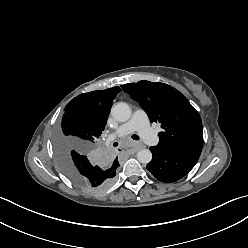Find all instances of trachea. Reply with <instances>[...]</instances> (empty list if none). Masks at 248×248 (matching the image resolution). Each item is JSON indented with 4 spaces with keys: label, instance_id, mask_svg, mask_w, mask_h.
I'll return each instance as SVG.
<instances>
[{
    "label": "trachea",
    "instance_id": "1",
    "mask_svg": "<svg viewBox=\"0 0 248 248\" xmlns=\"http://www.w3.org/2000/svg\"><path fill=\"white\" fill-rule=\"evenodd\" d=\"M132 139H134V140H139V136L138 135H136V134H134V135H132ZM118 145V143L116 142V143H114V146H117Z\"/></svg>",
    "mask_w": 248,
    "mask_h": 248
}]
</instances>
